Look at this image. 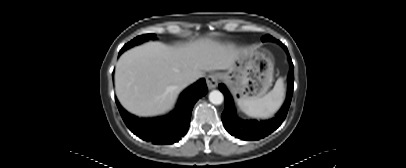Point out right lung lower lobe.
Returning <instances> with one entry per match:
<instances>
[{
    "mask_svg": "<svg viewBox=\"0 0 406 168\" xmlns=\"http://www.w3.org/2000/svg\"><path fill=\"white\" fill-rule=\"evenodd\" d=\"M122 52L120 51L119 55ZM206 93V82L200 79L180 94L174 110L153 118H139L132 115L118 102L117 107L127 127L139 138L151 141L153 144H173L186 134L193 106Z\"/></svg>",
    "mask_w": 406,
    "mask_h": 168,
    "instance_id": "right-lung-lower-lobe-1",
    "label": "right lung lower lobe"
}]
</instances>
